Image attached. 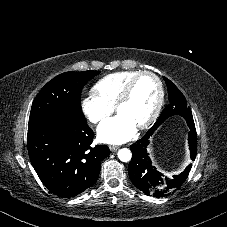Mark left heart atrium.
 I'll list each match as a JSON object with an SVG mask.
<instances>
[{"instance_id":"obj_1","label":"left heart atrium","mask_w":227,"mask_h":227,"mask_svg":"<svg viewBox=\"0 0 227 227\" xmlns=\"http://www.w3.org/2000/svg\"><path fill=\"white\" fill-rule=\"evenodd\" d=\"M135 132V124L125 115L118 114L100 124L97 136L104 143L120 144L130 140Z\"/></svg>"}]
</instances>
